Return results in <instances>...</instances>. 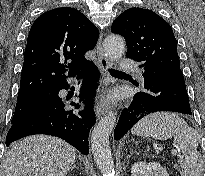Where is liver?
Segmentation results:
<instances>
[{
	"mask_svg": "<svg viewBox=\"0 0 205 176\" xmlns=\"http://www.w3.org/2000/svg\"><path fill=\"white\" fill-rule=\"evenodd\" d=\"M75 157V148L59 138L28 136L7 151L4 176H66Z\"/></svg>",
	"mask_w": 205,
	"mask_h": 176,
	"instance_id": "liver-1",
	"label": "liver"
}]
</instances>
